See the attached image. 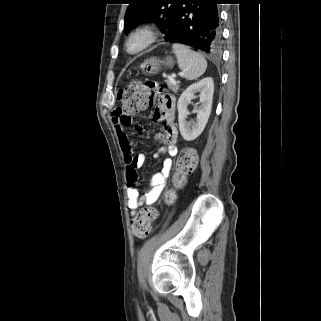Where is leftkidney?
<instances>
[{
    "mask_svg": "<svg viewBox=\"0 0 321 321\" xmlns=\"http://www.w3.org/2000/svg\"><path fill=\"white\" fill-rule=\"evenodd\" d=\"M196 92H200V106L195 108L194 112L197 113L196 122L188 124L186 116L188 114L187 105L194 98ZM214 93V82L211 77H206L201 81L190 85L180 96L177 109H178V122L179 130L186 141H193L204 130L212 107V99Z\"/></svg>",
    "mask_w": 321,
    "mask_h": 321,
    "instance_id": "left-kidney-1",
    "label": "left kidney"
}]
</instances>
